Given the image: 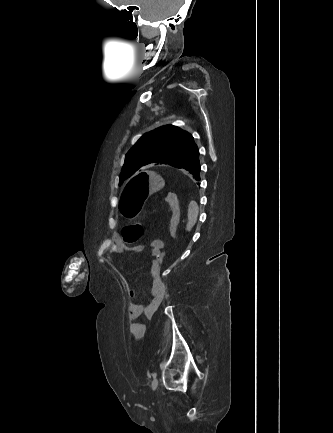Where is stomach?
Masks as SVG:
<instances>
[{
  "label": "stomach",
  "mask_w": 333,
  "mask_h": 433,
  "mask_svg": "<svg viewBox=\"0 0 333 433\" xmlns=\"http://www.w3.org/2000/svg\"><path fill=\"white\" fill-rule=\"evenodd\" d=\"M160 175L159 169H150L128 180L119 200V212L122 216L127 219L138 216L145 200L163 187Z\"/></svg>",
  "instance_id": "0dacf381"
}]
</instances>
